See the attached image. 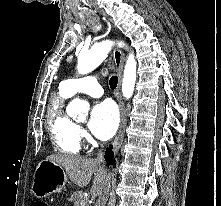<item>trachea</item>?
I'll return each instance as SVG.
<instances>
[{
  "instance_id": "3493384b",
  "label": "trachea",
  "mask_w": 221,
  "mask_h": 206,
  "mask_svg": "<svg viewBox=\"0 0 221 206\" xmlns=\"http://www.w3.org/2000/svg\"><path fill=\"white\" fill-rule=\"evenodd\" d=\"M118 83V77L117 76H112L109 80V85L111 87V89H115Z\"/></svg>"
}]
</instances>
